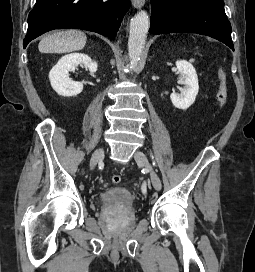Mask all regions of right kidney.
Returning a JSON list of instances; mask_svg holds the SVG:
<instances>
[{
	"mask_svg": "<svg viewBox=\"0 0 255 272\" xmlns=\"http://www.w3.org/2000/svg\"><path fill=\"white\" fill-rule=\"evenodd\" d=\"M79 64L89 68L91 74L97 71V63L83 53H71L63 56L51 69L49 80L52 88L61 96L71 97L80 94L83 82H75L69 78V72L74 71Z\"/></svg>",
	"mask_w": 255,
	"mask_h": 272,
	"instance_id": "1",
	"label": "right kidney"
}]
</instances>
